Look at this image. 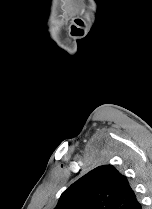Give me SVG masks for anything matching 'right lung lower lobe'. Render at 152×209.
Segmentation results:
<instances>
[{"instance_id":"1","label":"right lung lower lobe","mask_w":152,"mask_h":209,"mask_svg":"<svg viewBox=\"0 0 152 209\" xmlns=\"http://www.w3.org/2000/svg\"><path fill=\"white\" fill-rule=\"evenodd\" d=\"M142 205L140 203V201L136 198L134 203L132 204L131 207H129V209H141Z\"/></svg>"}]
</instances>
